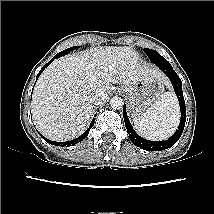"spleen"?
Here are the masks:
<instances>
[{
	"instance_id": "3e777b00",
	"label": "spleen",
	"mask_w": 214,
	"mask_h": 214,
	"mask_svg": "<svg viewBox=\"0 0 214 214\" xmlns=\"http://www.w3.org/2000/svg\"><path fill=\"white\" fill-rule=\"evenodd\" d=\"M179 117L176 96L172 92H165L146 112L134 119V127L146 139L163 140L175 132Z\"/></svg>"
}]
</instances>
